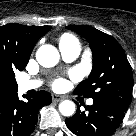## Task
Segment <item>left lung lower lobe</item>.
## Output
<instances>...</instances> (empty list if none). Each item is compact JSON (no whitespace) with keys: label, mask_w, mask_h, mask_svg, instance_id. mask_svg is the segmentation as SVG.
Returning <instances> with one entry per match:
<instances>
[{"label":"left lung lower lobe","mask_w":136,"mask_h":136,"mask_svg":"<svg viewBox=\"0 0 136 136\" xmlns=\"http://www.w3.org/2000/svg\"><path fill=\"white\" fill-rule=\"evenodd\" d=\"M65 120L69 130L78 136H108L122 121L129 105L104 99H93V105L85 106Z\"/></svg>","instance_id":"0a47b994"}]
</instances>
